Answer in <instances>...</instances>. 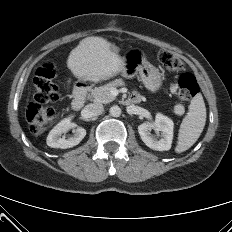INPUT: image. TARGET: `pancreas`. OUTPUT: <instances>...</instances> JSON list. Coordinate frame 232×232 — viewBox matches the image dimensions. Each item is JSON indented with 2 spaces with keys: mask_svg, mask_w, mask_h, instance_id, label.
Segmentation results:
<instances>
[{
  "mask_svg": "<svg viewBox=\"0 0 232 232\" xmlns=\"http://www.w3.org/2000/svg\"><path fill=\"white\" fill-rule=\"evenodd\" d=\"M122 85H124V82L121 79H118L104 86L94 88L91 91L90 98L94 102L103 104L112 102L115 100V96L111 94V90Z\"/></svg>",
  "mask_w": 232,
  "mask_h": 232,
  "instance_id": "pancreas-1",
  "label": "pancreas"
}]
</instances>
